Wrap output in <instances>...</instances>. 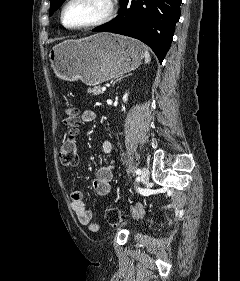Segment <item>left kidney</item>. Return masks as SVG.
<instances>
[{
  "label": "left kidney",
  "instance_id": "obj_1",
  "mask_svg": "<svg viewBox=\"0 0 240 281\" xmlns=\"http://www.w3.org/2000/svg\"><path fill=\"white\" fill-rule=\"evenodd\" d=\"M128 100V93H125V95L123 96V101L126 102Z\"/></svg>",
  "mask_w": 240,
  "mask_h": 281
}]
</instances>
